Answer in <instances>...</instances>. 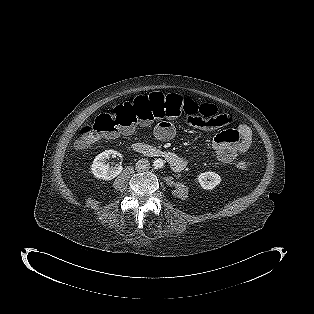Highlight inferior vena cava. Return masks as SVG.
<instances>
[{
    "instance_id": "obj_1",
    "label": "inferior vena cava",
    "mask_w": 314,
    "mask_h": 314,
    "mask_svg": "<svg viewBox=\"0 0 314 314\" xmlns=\"http://www.w3.org/2000/svg\"><path fill=\"white\" fill-rule=\"evenodd\" d=\"M150 167V163L147 159H140L137 161L135 168L137 171H145Z\"/></svg>"
}]
</instances>
